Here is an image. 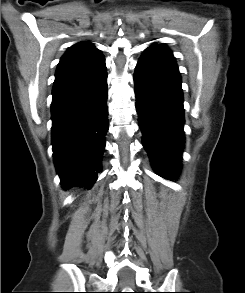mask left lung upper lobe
Segmentation results:
<instances>
[{
	"instance_id": "5c2ea615",
	"label": "left lung upper lobe",
	"mask_w": 245,
	"mask_h": 293,
	"mask_svg": "<svg viewBox=\"0 0 245 293\" xmlns=\"http://www.w3.org/2000/svg\"><path fill=\"white\" fill-rule=\"evenodd\" d=\"M153 46H157V47H160V48H164V49L169 50L168 48H166V46L164 44H155Z\"/></svg>"
}]
</instances>
